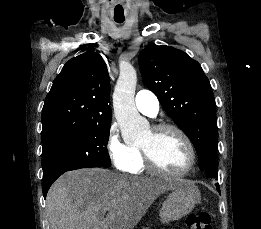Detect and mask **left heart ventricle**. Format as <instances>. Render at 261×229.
Segmentation results:
<instances>
[{
  "instance_id": "obj_1",
  "label": "left heart ventricle",
  "mask_w": 261,
  "mask_h": 229,
  "mask_svg": "<svg viewBox=\"0 0 261 229\" xmlns=\"http://www.w3.org/2000/svg\"><path fill=\"white\" fill-rule=\"evenodd\" d=\"M140 145L148 147L156 162L168 171H181L189 163L188 149L174 131H165L157 137L149 131Z\"/></svg>"
}]
</instances>
